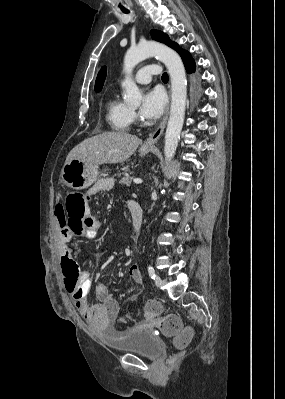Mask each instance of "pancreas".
Masks as SVG:
<instances>
[{
    "label": "pancreas",
    "mask_w": 285,
    "mask_h": 399,
    "mask_svg": "<svg viewBox=\"0 0 285 399\" xmlns=\"http://www.w3.org/2000/svg\"><path fill=\"white\" fill-rule=\"evenodd\" d=\"M131 177L125 173L124 177L120 180V183L126 186H130L131 184Z\"/></svg>",
    "instance_id": "obj_1"
}]
</instances>
